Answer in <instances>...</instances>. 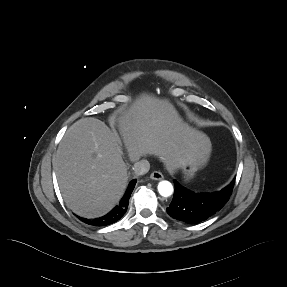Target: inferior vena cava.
Instances as JSON below:
<instances>
[{
  "label": "inferior vena cava",
  "mask_w": 287,
  "mask_h": 287,
  "mask_svg": "<svg viewBox=\"0 0 287 287\" xmlns=\"http://www.w3.org/2000/svg\"><path fill=\"white\" fill-rule=\"evenodd\" d=\"M132 169L136 175H144L149 171L150 163L147 160H140L134 163Z\"/></svg>",
  "instance_id": "602c4592"
}]
</instances>
